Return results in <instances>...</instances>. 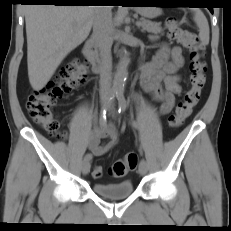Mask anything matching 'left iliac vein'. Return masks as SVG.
I'll return each instance as SVG.
<instances>
[{
	"mask_svg": "<svg viewBox=\"0 0 231 231\" xmlns=\"http://www.w3.org/2000/svg\"><path fill=\"white\" fill-rule=\"evenodd\" d=\"M109 111H110V113L112 115H114V111H113V108L111 106L109 107ZM147 170H148V167H147L146 161L145 160H141L140 164H139V173L141 175H146Z\"/></svg>",
	"mask_w": 231,
	"mask_h": 231,
	"instance_id": "left-iliac-vein-1",
	"label": "left iliac vein"
}]
</instances>
